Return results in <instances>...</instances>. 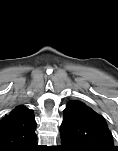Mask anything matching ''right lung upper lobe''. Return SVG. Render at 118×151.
I'll return each mask as SVG.
<instances>
[{"label": "right lung upper lobe", "instance_id": "cb5924a9", "mask_svg": "<svg viewBox=\"0 0 118 151\" xmlns=\"http://www.w3.org/2000/svg\"><path fill=\"white\" fill-rule=\"evenodd\" d=\"M33 111L18 106L0 121V151H27L37 142Z\"/></svg>", "mask_w": 118, "mask_h": 151}]
</instances>
